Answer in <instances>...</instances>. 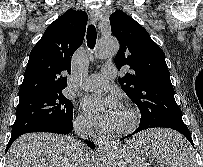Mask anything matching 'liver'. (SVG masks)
Wrapping results in <instances>:
<instances>
[{
	"label": "liver",
	"mask_w": 203,
	"mask_h": 167,
	"mask_svg": "<svg viewBox=\"0 0 203 167\" xmlns=\"http://www.w3.org/2000/svg\"><path fill=\"white\" fill-rule=\"evenodd\" d=\"M129 142L138 147L142 139L137 137ZM5 167H92V164L86 149L83 157L79 156L74 138L49 133H29L19 137L11 145Z\"/></svg>",
	"instance_id": "1"
}]
</instances>
